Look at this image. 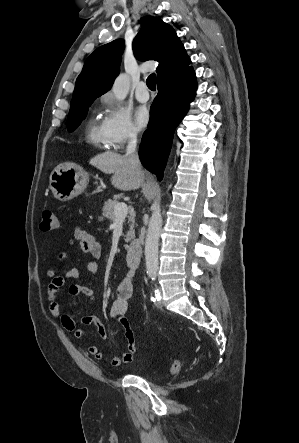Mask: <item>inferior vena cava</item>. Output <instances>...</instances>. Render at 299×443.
I'll use <instances>...</instances> for the list:
<instances>
[{"label":"inferior vena cava","mask_w":299,"mask_h":443,"mask_svg":"<svg viewBox=\"0 0 299 443\" xmlns=\"http://www.w3.org/2000/svg\"><path fill=\"white\" fill-rule=\"evenodd\" d=\"M128 145L126 150V156L138 167H140V161L136 152L137 147V134L134 130H128L127 132Z\"/></svg>","instance_id":"602c4592"}]
</instances>
